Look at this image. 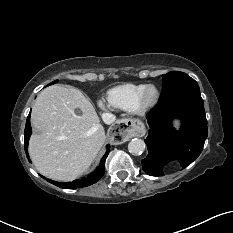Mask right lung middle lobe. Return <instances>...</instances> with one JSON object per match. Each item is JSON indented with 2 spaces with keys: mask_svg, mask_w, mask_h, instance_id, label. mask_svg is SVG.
I'll return each instance as SVG.
<instances>
[{
  "mask_svg": "<svg viewBox=\"0 0 233 233\" xmlns=\"http://www.w3.org/2000/svg\"><path fill=\"white\" fill-rule=\"evenodd\" d=\"M54 83H57V80H56V81H54V82H52V83H50V84H48V85H52V84H54Z\"/></svg>",
  "mask_w": 233,
  "mask_h": 233,
  "instance_id": "right-lung-middle-lobe-1",
  "label": "right lung middle lobe"
}]
</instances>
